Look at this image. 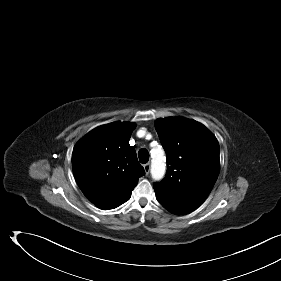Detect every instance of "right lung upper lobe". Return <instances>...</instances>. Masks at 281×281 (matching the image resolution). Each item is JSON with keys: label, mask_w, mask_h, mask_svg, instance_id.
<instances>
[{"label": "right lung upper lobe", "mask_w": 281, "mask_h": 281, "mask_svg": "<svg viewBox=\"0 0 281 281\" xmlns=\"http://www.w3.org/2000/svg\"><path fill=\"white\" fill-rule=\"evenodd\" d=\"M134 123L114 122L84 136L72 153L76 182L89 201L103 210L113 209L131 197L138 178L145 174L129 139Z\"/></svg>", "instance_id": "obj_1"}]
</instances>
